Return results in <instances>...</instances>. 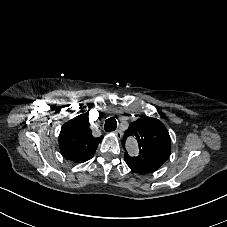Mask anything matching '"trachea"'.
<instances>
[{"instance_id": "1", "label": "trachea", "mask_w": 227, "mask_h": 227, "mask_svg": "<svg viewBox=\"0 0 227 227\" xmlns=\"http://www.w3.org/2000/svg\"><path fill=\"white\" fill-rule=\"evenodd\" d=\"M117 128V121L115 118L111 117L105 121V131L111 132Z\"/></svg>"}]
</instances>
